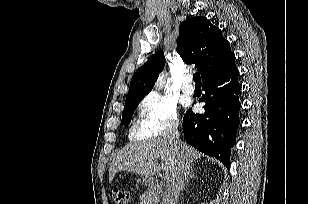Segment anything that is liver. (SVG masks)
Returning a JSON list of instances; mask_svg holds the SVG:
<instances>
[{
    "label": "liver",
    "mask_w": 309,
    "mask_h": 204,
    "mask_svg": "<svg viewBox=\"0 0 309 204\" xmlns=\"http://www.w3.org/2000/svg\"><path fill=\"white\" fill-rule=\"evenodd\" d=\"M182 145L190 164L202 156L195 148L185 143ZM159 159H161V165L158 164ZM177 164V152L166 137L130 143L121 149L113 159L109 170V182H112L118 171H128L151 177L162 169L172 176Z\"/></svg>",
    "instance_id": "1"
}]
</instances>
